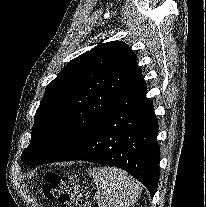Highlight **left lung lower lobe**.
Wrapping results in <instances>:
<instances>
[{
  "label": "left lung lower lobe",
  "instance_id": "1",
  "mask_svg": "<svg viewBox=\"0 0 206 207\" xmlns=\"http://www.w3.org/2000/svg\"><path fill=\"white\" fill-rule=\"evenodd\" d=\"M141 74L104 112L85 142L61 161L85 160L119 167L154 196L159 181L158 123Z\"/></svg>",
  "mask_w": 206,
  "mask_h": 207
}]
</instances>
